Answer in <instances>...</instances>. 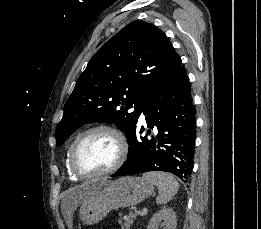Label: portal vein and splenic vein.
Here are the masks:
<instances>
[{
	"instance_id": "portal-vein-and-splenic-vein-1",
	"label": "portal vein and splenic vein",
	"mask_w": 261,
	"mask_h": 229,
	"mask_svg": "<svg viewBox=\"0 0 261 229\" xmlns=\"http://www.w3.org/2000/svg\"><path fill=\"white\" fill-rule=\"evenodd\" d=\"M137 214L139 215L140 218H144L145 215L148 214V211L146 208H143L142 210L137 209ZM124 219H128V217H124Z\"/></svg>"
}]
</instances>
